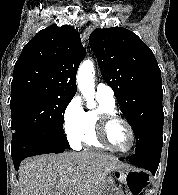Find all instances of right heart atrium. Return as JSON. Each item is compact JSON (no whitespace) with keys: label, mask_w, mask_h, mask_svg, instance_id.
Instances as JSON below:
<instances>
[{"label":"right heart atrium","mask_w":178,"mask_h":195,"mask_svg":"<svg viewBox=\"0 0 178 195\" xmlns=\"http://www.w3.org/2000/svg\"><path fill=\"white\" fill-rule=\"evenodd\" d=\"M63 126L68 141L73 146H79L86 131V112L79 96H74L63 112Z\"/></svg>","instance_id":"d8ad5b80"}]
</instances>
